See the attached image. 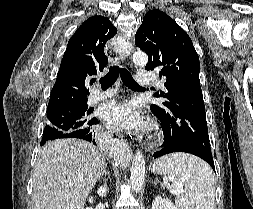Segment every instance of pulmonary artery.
<instances>
[{
    "label": "pulmonary artery",
    "mask_w": 253,
    "mask_h": 209,
    "mask_svg": "<svg viewBox=\"0 0 253 209\" xmlns=\"http://www.w3.org/2000/svg\"><path fill=\"white\" fill-rule=\"evenodd\" d=\"M136 81L140 85H146L151 83L152 77L149 71H140L137 73ZM115 95L113 90L107 91H96L92 93L89 97V103H97L102 100L109 99Z\"/></svg>",
    "instance_id": "1"
}]
</instances>
